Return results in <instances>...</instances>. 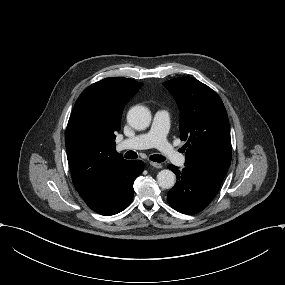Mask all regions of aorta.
Instances as JSON below:
<instances>
[{"mask_svg": "<svg viewBox=\"0 0 285 285\" xmlns=\"http://www.w3.org/2000/svg\"><path fill=\"white\" fill-rule=\"evenodd\" d=\"M127 122L136 130H144L150 125L151 112L144 106H134L128 111ZM175 181L176 176L171 170L164 169L157 174V182L163 189H171Z\"/></svg>", "mask_w": 285, "mask_h": 285, "instance_id": "obj_1", "label": "aorta"}]
</instances>
